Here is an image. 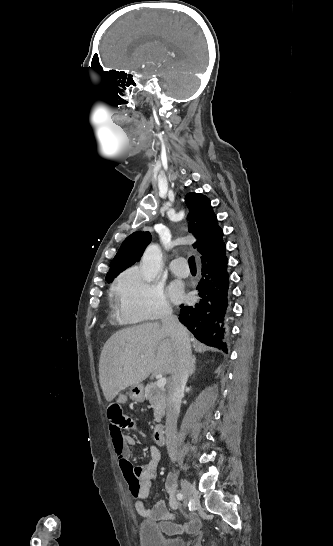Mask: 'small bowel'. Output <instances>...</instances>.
Instances as JSON below:
<instances>
[{
	"label": "small bowel",
	"mask_w": 333,
	"mask_h": 546,
	"mask_svg": "<svg viewBox=\"0 0 333 546\" xmlns=\"http://www.w3.org/2000/svg\"><path fill=\"white\" fill-rule=\"evenodd\" d=\"M118 400L122 404L126 401V393L120 392ZM131 426V423L123 418H109V431L112 440L114 453L118 459L119 468L129 486L134 498V505L137 513L147 519L157 521L161 529L167 534H176L182 532H194L198 529L200 522L192 514L187 524L179 525L174 522V511L178 503L171 498L168 505L163 500H158L151 508L146 507L145 500L152 488L157 474V465L160 461V451L152 446L151 460L142 469L136 468L129 457V447L135 444V438L131 434L125 433V430Z\"/></svg>",
	"instance_id": "small-bowel-1"
}]
</instances>
